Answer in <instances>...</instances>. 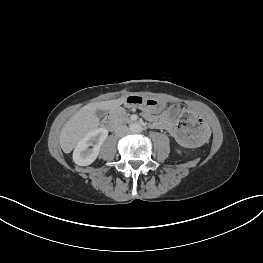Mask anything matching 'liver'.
I'll return each mask as SVG.
<instances>
[{
	"label": "liver",
	"mask_w": 263,
	"mask_h": 263,
	"mask_svg": "<svg viewBox=\"0 0 263 263\" xmlns=\"http://www.w3.org/2000/svg\"><path fill=\"white\" fill-rule=\"evenodd\" d=\"M125 100L126 97H121L116 100L90 103L78 110L67 121L60 133L59 142L63 152L70 153L85 135L99 126L96 110H114Z\"/></svg>",
	"instance_id": "6515ba94"
}]
</instances>
